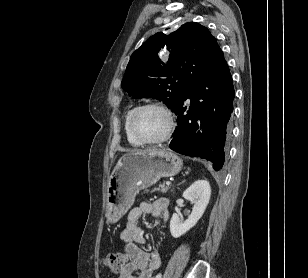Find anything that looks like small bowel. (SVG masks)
I'll use <instances>...</instances> for the list:
<instances>
[{
	"label": "small bowel",
	"mask_w": 308,
	"mask_h": 278,
	"mask_svg": "<svg viewBox=\"0 0 308 278\" xmlns=\"http://www.w3.org/2000/svg\"><path fill=\"white\" fill-rule=\"evenodd\" d=\"M168 205L166 198H159L154 202H142L129 211L126 227L120 234L129 261L119 278H152L153 273L160 267L159 251L155 249L148 253L140 247V244L145 242V235L139 226V219L142 215H151L166 221L169 215ZM136 272L139 274L135 275Z\"/></svg>",
	"instance_id": "c3829d8e"
}]
</instances>
